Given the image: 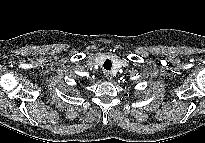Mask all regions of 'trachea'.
I'll return each instance as SVG.
<instances>
[{"label": "trachea", "mask_w": 205, "mask_h": 143, "mask_svg": "<svg viewBox=\"0 0 205 143\" xmlns=\"http://www.w3.org/2000/svg\"><path fill=\"white\" fill-rule=\"evenodd\" d=\"M103 67H104V69H106V70H111L112 62H111L109 59H107V60L104 62Z\"/></svg>", "instance_id": "1"}]
</instances>
